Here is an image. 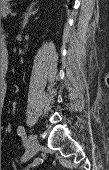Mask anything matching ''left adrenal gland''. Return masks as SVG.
Instances as JSON below:
<instances>
[{"mask_svg": "<svg viewBox=\"0 0 109 170\" xmlns=\"http://www.w3.org/2000/svg\"><path fill=\"white\" fill-rule=\"evenodd\" d=\"M36 3L37 2L31 3V5L28 7L26 13L24 14V19L22 22V29H24L26 24L28 23L29 17L37 13L38 10H33Z\"/></svg>", "mask_w": 109, "mask_h": 170, "instance_id": "a2214340", "label": "left adrenal gland"}]
</instances>
